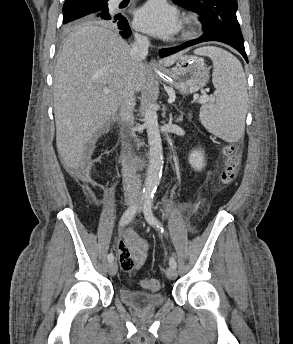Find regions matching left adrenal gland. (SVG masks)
<instances>
[{
	"mask_svg": "<svg viewBox=\"0 0 293 344\" xmlns=\"http://www.w3.org/2000/svg\"><path fill=\"white\" fill-rule=\"evenodd\" d=\"M182 120V116L179 118V119H177V122H179V121H181Z\"/></svg>",
	"mask_w": 293,
	"mask_h": 344,
	"instance_id": "obj_1",
	"label": "left adrenal gland"
}]
</instances>
